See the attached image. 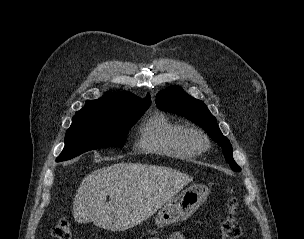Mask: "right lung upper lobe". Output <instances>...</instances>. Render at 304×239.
<instances>
[{"label": "right lung upper lobe", "mask_w": 304, "mask_h": 239, "mask_svg": "<svg viewBox=\"0 0 304 239\" xmlns=\"http://www.w3.org/2000/svg\"><path fill=\"white\" fill-rule=\"evenodd\" d=\"M150 96L140 99L130 92L107 93L98 100L88 101L86 106L76 113V115L86 114H117L128 108L149 107Z\"/></svg>", "instance_id": "obj_1"}]
</instances>
